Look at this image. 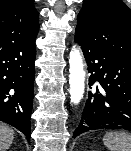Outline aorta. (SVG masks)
<instances>
[{
  "label": "aorta",
  "mask_w": 131,
  "mask_h": 151,
  "mask_svg": "<svg viewBox=\"0 0 131 151\" xmlns=\"http://www.w3.org/2000/svg\"><path fill=\"white\" fill-rule=\"evenodd\" d=\"M69 85L70 102L76 105L82 100L85 90L83 59L76 46L72 47L69 54Z\"/></svg>",
  "instance_id": "1"
}]
</instances>
